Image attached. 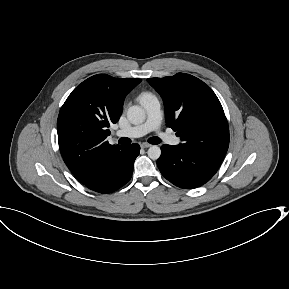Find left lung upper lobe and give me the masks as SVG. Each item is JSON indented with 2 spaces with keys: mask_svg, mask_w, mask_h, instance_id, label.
<instances>
[{
  "mask_svg": "<svg viewBox=\"0 0 289 289\" xmlns=\"http://www.w3.org/2000/svg\"><path fill=\"white\" fill-rule=\"evenodd\" d=\"M147 81L163 99L167 126L177 132L182 141L179 146L223 160L229 128L212 89L185 73Z\"/></svg>",
  "mask_w": 289,
  "mask_h": 289,
  "instance_id": "5c2ea615",
  "label": "left lung upper lobe"
}]
</instances>
